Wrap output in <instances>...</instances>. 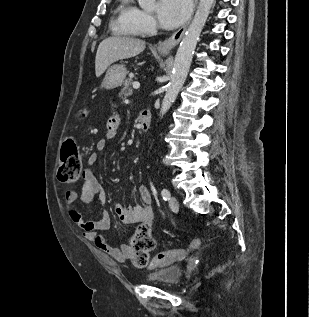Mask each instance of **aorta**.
<instances>
[{"instance_id": "762f6f07", "label": "aorta", "mask_w": 309, "mask_h": 317, "mask_svg": "<svg viewBox=\"0 0 309 317\" xmlns=\"http://www.w3.org/2000/svg\"><path fill=\"white\" fill-rule=\"evenodd\" d=\"M214 1L215 0L199 1L195 16L189 25L175 56L171 79L167 85L166 94L160 109L161 117H163V115L170 109L186 80L197 42ZM138 3L142 9L152 11L154 9L155 0H138Z\"/></svg>"}]
</instances>
